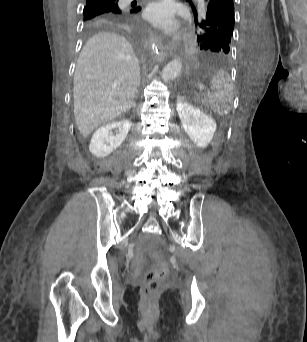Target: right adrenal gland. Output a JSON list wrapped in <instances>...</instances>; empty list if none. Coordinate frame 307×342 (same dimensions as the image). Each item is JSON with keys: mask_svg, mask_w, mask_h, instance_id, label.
Here are the masks:
<instances>
[{"mask_svg": "<svg viewBox=\"0 0 307 342\" xmlns=\"http://www.w3.org/2000/svg\"><path fill=\"white\" fill-rule=\"evenodd\" d=\"M131 108H136V104H134V102H132Z\"/></svg>", "mask_w": 307, "mask_h": 342, "instance_id": "1", "label": "right adrenal gland"}]
</instances>
